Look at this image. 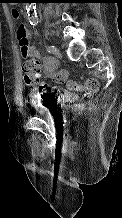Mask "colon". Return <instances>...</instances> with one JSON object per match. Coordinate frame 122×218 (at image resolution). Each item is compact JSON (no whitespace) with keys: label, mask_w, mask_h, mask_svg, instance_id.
<instances>
[{"label":"colon","mask_w":122,"mask_h":218,"mask_svg":"<svg viewBox=\"0 0 122 218\" xmlns=\"http://www.w3.org/2000/svg\"><path fill=\"white\" fill-rule=\"evenodd\" d=\"M12 14L15 19L19 18L18 10H13ZM16 35L22 59V66L25 71L24 80L26 84L34 86L40 94H46L48 91L52 92L54 90L53 88H49L47 84L40 83L37 78V74L40 70V64L31 56L30 35L23 23L19 24ZM68 87L69 92H65L64 96L67 100L72 101L75 99V95L72 92H79L84 97H90L94 95L98 90V81L94 78H88L81 83L71 82L69 83ZM57 92L63 95L60 90H57Z\"/></svg>","instance_id":"1"}]
</instances>
